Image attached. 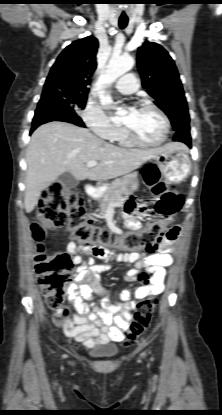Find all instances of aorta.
<instances>
[{
  "label": "aorta",
  "instance_id": "762f6f07",
  "mask_svg": "<svg viewBox=\"0 0 222 415\" xmlns=\"http://www.w3.org/2000/svg\"><path fill=\"white\" fill-rule=\"evenodd\" d=\"M134 59L129 55L112 56L107 65L106 71L99 77L101 84H112L116 79L130 71L134 66ZM110 95L100 96V103L103 106H108L112 103Z\"/></svg>",
  "mask_w": 222,
  "mask_h": 415
}]
</instances>
